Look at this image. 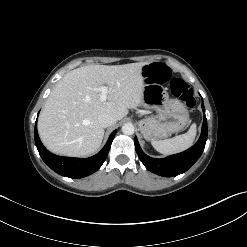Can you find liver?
I'll use <instances>...</instances> for the list:
<instances>
[{"mask_svg":"<svg viewBox=\"0 0 247 247\" xmlns=\"http://www.w3.org/2000/svg\"><path fill=\"white\" fill-rule=\"evenodd\" d=\"M145 62L88 65L68 72L50 93L38 119L39 136L55 154L86 157L101 146L104 129L99 115L123 119L143 103ZM106 85L108 101L100 100Z\"/></svg>","mask_w":247,"mask_h":247,"instance_id":"liver-1","label":"liver"}]
</instances>
